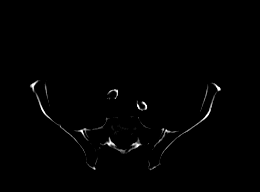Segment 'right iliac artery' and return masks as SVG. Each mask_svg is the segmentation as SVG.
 <instances>
[{
	"instance_id": "82829eb1",
	"label": "right iliac artery",
	"mask_w": 260,
	"mask_h": 192,
	"mask_svg": "<svg viewBox=\"0 0 260 192\" xmlns=\"http://www.w3.org/2000/svg\"><path fill=\"white\" fill-rule=\"evenodd\" d=\"M118 91L114 90L110 93L109 98H114Z\"/></svg>"
}]
</instances>
